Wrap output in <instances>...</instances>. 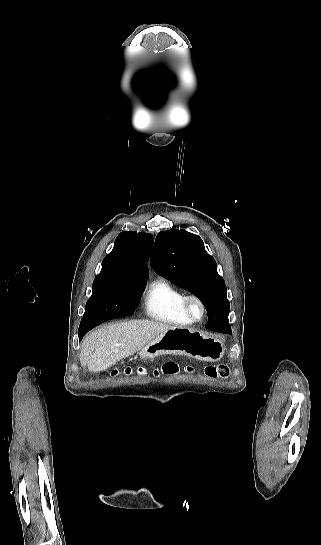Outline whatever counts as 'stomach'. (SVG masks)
Returning a JSON list of instances; mask_svg holds the SVG:
<instances>
[{
    "instance_id": "0dacf381",
    "label": "stomach",
    "mask_w": 321,
    "mask_h": 545,
    "mask_svg": "<svg viewBox=\"0 0 321 545\" xmlns=\"http://www.w3.org/2000/svg\"><path fill=\"white\" fill-rule=\"evenodd\" d=\"M226 351L222 337H205L200 331L176 327L161 333L139 353L140 359H155L159 355H186L200 361H220Z\"/></svg>"
}]
</instances>
